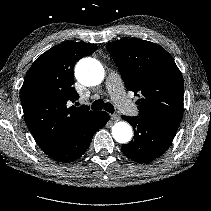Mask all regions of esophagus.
Instances as JSON below:
<instances>
[{"label": "esophagus", "instance_id": "obj_1", "mask_svg": "<svg viewBox=\"0 0 211 211\" xmlns=\"http://www.w3.org/2000/svg\"><path fill=\"white\" fill-rule=\"evenodd\" d=\"M110 117L114 121H118L120 119V116L118 114H111Z\"/></svg>", "mask_w": 211, "mask_h": 211}]
</instances>
